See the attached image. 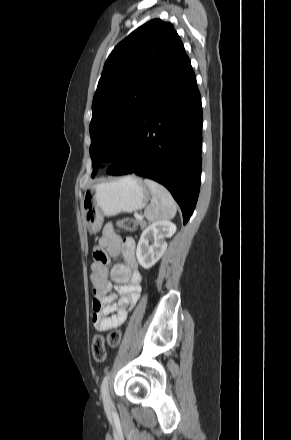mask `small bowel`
I'll use <instances>...</instances> for the list:
<instances>
[{
	"label": "small bowel",
	"mask_w": 291,
	"mask_h": 440,
	"mask_svg": "<svg viewBox=\"0 0 291 440\" xmlns=\"http://www.w3.org/2000/svg\"><path fill=\"white\" fill-rule=\"evenodd\" d=\"M120 255L124 262L109 269V257ZM93 257L89 276L94 291L92 321L97 330L108 331L126 321L140 297L141 274L136 260V242L132 237L120 239L113 227L107 225L93 250ZM110 278L117 286H113ZM113 288L114 292L108 294Z\"/></svg>",
	"instance_id": "1"
}]
</instances>
